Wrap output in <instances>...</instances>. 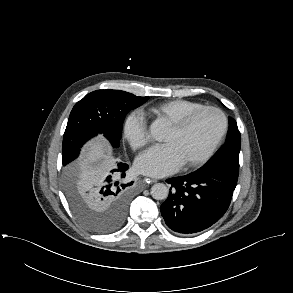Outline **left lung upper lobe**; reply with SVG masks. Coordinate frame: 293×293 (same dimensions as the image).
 Here are the masks:
<instances>
[{
	"label": "left lung upper lobe",
	"mask_w": 293,
	"mask_h": 293,
	"mask_svg": "<svg viewBox=\"0 0 293 293\" xmlns=\"http://www.w3.org/2000/svg\"><path fill=\"white\" fill-rule=\"evenodd\" d=\"M240 145L241 137L237 123L230 117L226 142L213 155V157L197 171L200 173H214L222 175L234 182H237L239 174Z\"/></svg>",
	"instance_id": "left-lung-upper-lobe-1"
}]
</instances>
